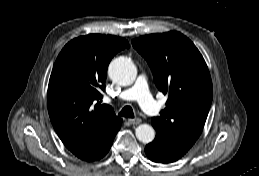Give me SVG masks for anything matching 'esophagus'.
<instances>
[{
	"label": "esophagus",
	"instance_id": "esophagus-1",
	"mask_svg": "<svg viewBox=\"0 0 259 176\" xmlns=\"http://www.w3.org/2000/svg\"><path fill=\"white\" fill-rule=\"evenodd\" d=\"M128 121L131 125H138L141 123L142 120L140 118H131Z\"/></svg>",
	"mask_w": 259,
	"mask_h": 176
}]
</instances>
